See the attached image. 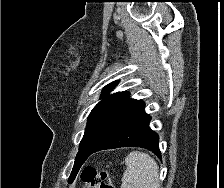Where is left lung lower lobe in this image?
Listing matches in <instances>:
<instances>
[{
    "instance_id": "left-lung-lower-lobe-1",
    "label": "left lung lower lobe",
    "mask_w": 224,
    "mask_h": 188,
    "mask_svg": "<svg viewBox=\"0 0 224 188\" xmlns=\"http://www.w3.org/2000/svg\"><path fill=\"white\" fill-rule=\"evenodd\" d=\"M145 103L137 100L117 120L113 128L104 136L100 143L84 159L75 160L74 168L81 164L93 153L120 147L146 148L161 157L159 137L149 127L150 116L144 111Z\"/></svg>"
}]
</instances>
